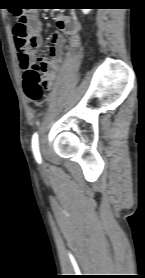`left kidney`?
<instances>
[{
	"label": "left kidney",
	"mask_w": 145,
	"mask_h": 278,
	"mask_svg": "<svg viewBox=\"0 0 145 278\" xmlns=\"http://www.w3.org/2000/svg\"><path fill=\"white\" fill-rule=\"evenodd\" d=\"M90 11H91V9H82V12H83L84 14H88Z\"/></svg>",
	"instance_id": "5707ae66"
}]
</instances>
